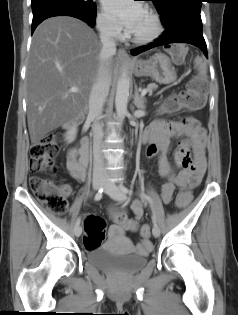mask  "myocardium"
<instances>
[{"label":"myocardium","mask_w":238,"mask_h":315,"mask_svg":"<svg viewBox=\"0 0 238 315\" xmlns=\"http://www.w3.org/2000/svg\"><path fill=\"white\" fill-rule=\"evenodd\" d=\"M145 11L152 19V22H153L152 31L148 35H145V36H134L130 32L127 34V37L130 41L139 45H144V44L153 42L155 39H157L161 35L162 30H163L159 15L152 9H146Z\"/></svg>","instance_id":"f54148a6"}]
</instances>
